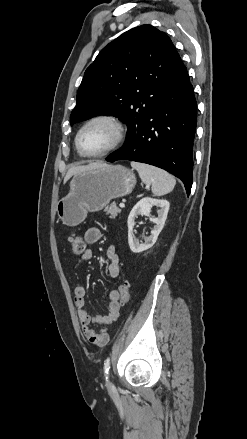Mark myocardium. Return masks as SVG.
Wrapping results in <instances>:
<instances>
[{
	"instance_id": "f54148a6",
	"label": "myocardium",
	"mask_w": 247,
	"mask_h": 439,
	"mask_svg": "<svg viewBox=\"0 0 247 439\" xmlns=\"http://www.w3.org/2000/svg\"><path fill=\"white\" fill-rule=\"evenodd\" d=\"M100 121L106 122L113 127V129L115 131V138L110 146H108L106 149H104L100 152L92 153V154L84 153L80 147V137H81L83 131L88 126H90L91 124H93L95 122H100ZM125 138H126V127L120 118H118L117 116L112 115V114H97V115L89 118L80 127V129L77 132L76 138H75V146H76V149L81 156L86 157V158H97V157H102V156L116 150L125 141Z\"/></svg>"
}]
</instances>
